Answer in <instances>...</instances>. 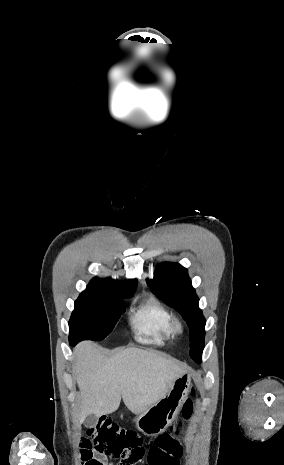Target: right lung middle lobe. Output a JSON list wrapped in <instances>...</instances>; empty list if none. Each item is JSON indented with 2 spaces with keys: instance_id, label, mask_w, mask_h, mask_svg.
I'll list each match as a JSON object with an SVG mask.
<instances>
[{
  "instance_id": "dd1d6c3e",
  "label": "right lung middle lobe",
  "mask_w": 284,
  "mask_h": 465,
  "mask_svg": "<svg viewBox=\"0 0 284 465\" xmlns=\"http://www.w3.org/2000/svg\"><path fill=\"white\" fill-rule=\"evenodd\" d=\"M99 288L88 287L75 301L69 320V341L73 344L90 339L101 341L108 336L125 311L123 298Z\"/></svg>"
}]
</instances>
